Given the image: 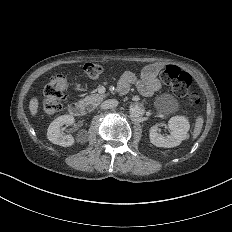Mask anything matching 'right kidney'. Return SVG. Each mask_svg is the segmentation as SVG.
<instances>
[{"label": "right kidney", "instance_id": "1", "mask_svg": "<svg viewBox=\"0 0 232 232\" xmlns=\"http://www.w3.org/2000/svg\"><path fill=\"white\" fill-rule=\"evenodd\" d=\"M74 117L72 115H62L56 118L48 127L47 138L53 143L63 147L73 145L74 138L71 134H64L62 126L72 125Z\"/></svg>", "mask_w": 232, "mask_h": 232}]
</instances>
